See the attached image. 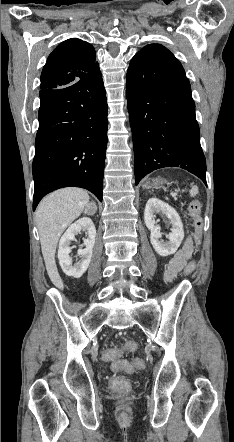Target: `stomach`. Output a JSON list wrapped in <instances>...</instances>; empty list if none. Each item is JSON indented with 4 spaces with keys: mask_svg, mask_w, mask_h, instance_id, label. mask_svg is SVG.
<instances>
[{
    "mask_svg": "<svg viewBox=\"0 0 234 442\" xmlns=\"http://www.w3.org/2000/svg\"><path fill=\"white\" fill-rule=\"evenodd\" d=\"M162 182L158 179L154 180L153 183L147 182L146 184H144L145 188H150L152 186L157 187L159 184H161Z\"/></svg>",
    "mask_w": 234,
    "mask_h": 442,
    "instance_id": "obj_1",
    "label": "stomach"
}]
</instances>
